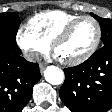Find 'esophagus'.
<instances>
[{
    "label": "esophagus",
    "mask_w": 112,
    "mask_h": 112,
    "mask_svg": "<svg viewBox=\"0 0 112 112\" xmlns=\"http://www.w3.org/2000/svg\"><path fill=\"white\" fill-rule=\"evenodd\" d=\"M39 68H40V71L43 72V70L45 69V64L40 63Z\"/></svg>",
    "instance_id": "1"
}]
</instances>
